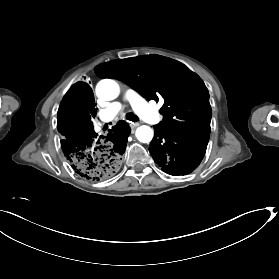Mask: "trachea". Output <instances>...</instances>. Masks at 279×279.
<instances>
[{
	"label": "trachea",
	"instance_id": "1",
	"mask_svg": "<svg viewBox=\"0 0 279 279\" xmlns=\"http://www.w3.org/2000/svg\"><path fill=\"white\" fill-rule=\"evenodd\" d=\"M126 118L132 122H136L138 120V117L133 112L127 113Z\"/></svg>",
	"mask_w": 279,
	"mask_h": 279
}]
</instances>
